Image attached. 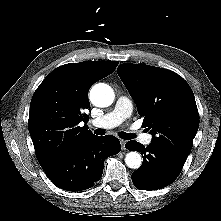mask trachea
<instances>
[{
	"instance_id": "3493384b",
	"label": "trachea",
	"mask_w": 221,
	"mask_h": 221,
	"mask_svg": "<svg viewBox=\"0 0 221 221\" xmlns=\"http://www.w3.org/2000/svg\"><path fill=\"white\" fill-rule=\"evenodd\" d=\"M94 133L97 135H104L105 131L103 129L98 128L94 131ZM119 136L124 140H130V139L134 138V134L125 133V132H120Z\"/></svg>"
}]
</instances>
